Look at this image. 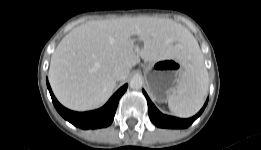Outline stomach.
I'll return each instance as SVG.
<instances>
[{"mask_svg": "<svg viewBox=\"0 0 261 150\" xmlns=\"http://www.w3.org/2000/svg\"><path fill=\"white\" fill-rule=\"evenodd\" d=\"M185 68L183 57L163 59L146 65L144 74L152 98L164 102L175 93Z\"/></svg>", "mask_w": 261, "mask_h": 150, "instance_id": "0dacf381", "label": "stomach"}]
</instances>
